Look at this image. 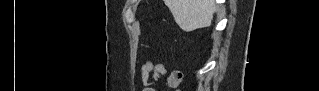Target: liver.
Instances as JSON below:
<instances>
[{"label":"liver","mask_w":319,"mask_h":91,"mask_svg":"<svg viewBox=\"0 0 319 91\" xmlns=\"http://www.w3.org/2000/svg\"><path fill=\"white\" fill-rule=\"evenodd\" d=\"M179 27L193 31L211 25L216 5L213 0H165Z\"/></svg>","instance_id":"liver-1"}]
</instances>
